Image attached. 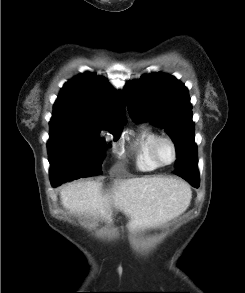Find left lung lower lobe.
I'll use <instances>...</instances> for the list:
<instances>
[{
	"mask_svg": "<svg viewBox=\"0 0 245 293\" xmlns=\"http://www.w3.org/2000/svg\"><path fill=\"white\" fill-rule=\"evenodd\" d=\"M176 175L182 177L187 182H189L193 187H199V175H192L186 173H175Z\"/></svg>",
	"mask_w": 245,
	"mask_h": 293,
	"instance_id": "1",
	"label": "left lung lower lobe"
}]
</instances>
